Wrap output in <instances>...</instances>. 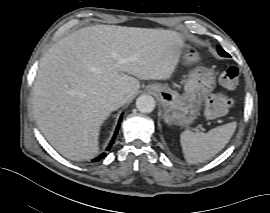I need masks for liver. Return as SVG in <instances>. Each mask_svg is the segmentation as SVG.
I'll return each mask as SVG.
<instances>
[{"label": "liver", "mask_w": 270, "mask_h": 213, "mask_svg": "<svg viewBox=\"0 0 270 213\" xmlns=\"http://www.w3.org/2000/svg\"><path fill=\"white\" fill-rule=\"evenodd\" d=\"M184 43L163 29L95 25L77 30L43 55L33 87L35 119L48 142L74 161L99 152V132L121 105L139 91V79L167 80L176 69ZM136 77V78H135Z\"/></svg>", "instance_id": "1"}]
</instances>
